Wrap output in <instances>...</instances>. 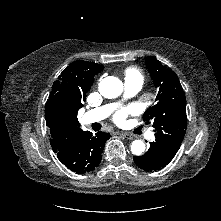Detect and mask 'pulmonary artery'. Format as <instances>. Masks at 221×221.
I'll use <instances>...</instances> for the list:
<instances>
[{"instance_id":"obj_1","label":"pulmonary artery","mask_w":221,"mask_h":221,"mask_svg":"<svg viewBox=\"0 0 221 221\" xmlns=\"http://www.w3.org/2000/svg\"><path fill=\"white\" fill-rule=\"evenodd\" d=\"M143 80L139 77H125V93L126 96H133L139 92L142 88ZM114 109L113 104H108L93 110L88 111L84 115V121L87 124L99 122L106 118ZM154 134L152 132L147 133V138L152 139Z\"/></svg>"}]
</instances>
